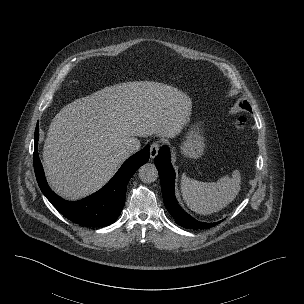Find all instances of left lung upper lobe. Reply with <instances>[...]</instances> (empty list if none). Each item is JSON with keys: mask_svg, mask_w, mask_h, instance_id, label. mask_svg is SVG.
<instances>
[{"mask_svg": "<svg viewBox=\"0 0 304 304\" xmlns=\"http://www.w3.org/2000/svg\"><path fill=\"white\" fill-rule=\"evenodd\" d=\"M241 107L245 108L246 110L252 112L251 107L247 101H244L243 104H241Z\"/></svg>", "mask_w": 304, "mask_h": 304, "instance_id": "5c2ea615", "label": "left lung upper lobe"}]
</instances>
